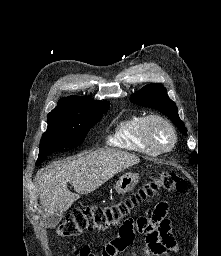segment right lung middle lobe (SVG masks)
<instances>
[{
    "label": "right lung middle lobe",
    "mask_w": 221,
    "mask_h": 256,
    "mask_svg": "<svg viewBox=\"0 0 221 256\" xmlns=\"http://www.w3.org/2000/svg\"><path fill=\"white\" fill-rule=\"evenodd\" d=\"M109 109V102L95 101L80 107L74 113L49 114L48 128L40 141L36 165L50 153L79 146L90 128L101 120Z\"/></svg>",
    "instance_id": "dd1d6c3e"
}]
</instances>
